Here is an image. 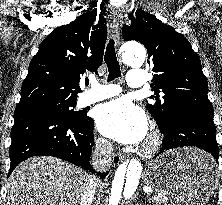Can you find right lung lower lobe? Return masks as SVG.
I'll list each match as a JSON object with an SVG mask.
<instances>
[{"label": "right lung lower lobe", "instance_id": "right-lung-lower-lobe-1", "mask_svg": "<svg viewBox=\"0 0 222 205\" xmlns=\"http://www.w3.org/2000/svg\"><path fill=\"white\" fill-rule=\"evenodd\" d=\"M93 123L91 118L85 123L72 122L43 108L15 111L8 176L23 160L40 155L58 157L95 172L90 166L94 145ZM107 174L97 173L102 179Z\"/></svg>", "mask_w": 222, "mask_h": 205}]
</instances>
